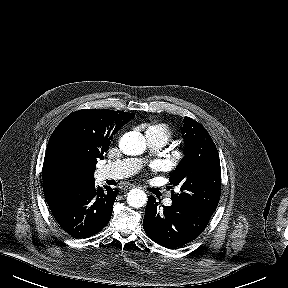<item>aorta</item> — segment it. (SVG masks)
Here are the masks:
<instances>
[{"label":"aorta","instance_id":"762f6f07","mask_svg":"<svg viewBox=\"0 0 288 288\" xmlns=\"http://www.w3.org/2000/svg\"><path fill=\"white\" fill-rule=\"evenodd\" d=\"M119 148L127 155H140L146 150V140L139 132H128L121 138ZM146 202L147 195L143 190L134 188L127 194V203L133 208H140L145 205Z\"/></svg>","mask_w":288,"mask_h":288}]
</instances>
